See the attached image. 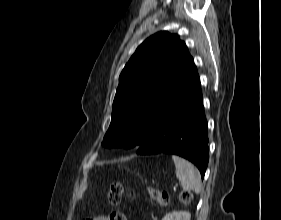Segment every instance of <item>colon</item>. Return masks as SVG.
I'll use <instances>...</instances> for the list:
<instances>
[{
    "instance_id": "obj_1",
    "label": "colon",
    "mask_w": 281,
    "mask_h": 220,
    "mask_svg": "<svg viewBox=\"0 0 281 220\" xmlns=\"http://www.w3.org/2000/svg\"><path fill=\"white\" fill-rule=\"evenodd\" d=\"M123 193V185L120 181H114L110 184L109 190L107 193V201L108 203L113 206L117 207L122 199ZM148 193L150 197L156 201L158 204L165 206L169 202V196L166 192L156 189L154 187L148 188ZM179 200L183 204H188L192 200V194L188 191L182 192L179 195ZM93 220V219H92ZM108 220H126L124 213L121 211H113L108 216Z\"/></svg>"
}]
</instances>
